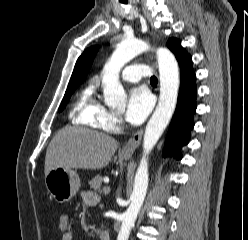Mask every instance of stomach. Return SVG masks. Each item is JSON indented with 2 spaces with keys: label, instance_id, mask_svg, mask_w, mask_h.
Segmentation results:
<instances>
[{
  "label": "stomach",
  "instance_id": "stomach-1",
  "mask_svg": "<svg viewBox=\"0 0 248 240\" xmlns=\"http://www.w3.org/2000/svg\"><path fill=\"white\" fill-rule=\"evenodd\" d=\"M130 155L123 156L129 159ZM45 184L53 198L64 203L72 199L80 188V178L75 171L62 167L51 170L45 176Z\"/></svg>",
  "mask_w": 248,
  "mask_h": 240
}]
</instances>
